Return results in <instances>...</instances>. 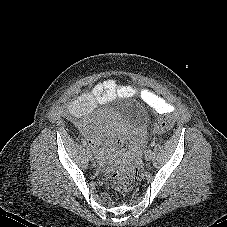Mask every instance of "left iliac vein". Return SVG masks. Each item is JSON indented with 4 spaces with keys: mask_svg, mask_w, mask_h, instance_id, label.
<instances>
[{
    "mask_svg": "<svg viewBox=\"0 0 227 227\" xmlns=\"http://www.w3.org/2000/svg\"><path fill=\"white\" fill-rule=\"evenodd\" d=\"M153 151L151 149L147 150L145 153V159L147 161H150L153 158Z\"/></svg>",
    "mask_w": 227,
    "mask_h": 227,
    "instance_id": "obj_1",
    "label": "left iliac vein"
}]
</instances>
